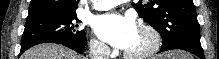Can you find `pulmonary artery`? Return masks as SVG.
<instances>
[{"instance_id":"obj_1","label":"pulmonary artery","mask_w":219,"mask_h":59,"mask_svg":"<svg viewBox=\"0 0 219 59\" xmlns=\"http://www.w3.org/2000/svg\"><path fill=\"white\" fill-rule=\"evenodd\" d=\"M122 2H125L124 0H99L94 4V8L97 10H108Z\"/></svg>"}]
</instances>
